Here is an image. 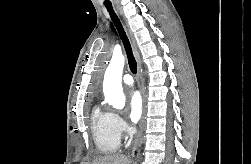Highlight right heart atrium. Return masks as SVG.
<instances>
[{"label": "right heart atrium", "instance_id": "1", "mask_svg": "<svg viewBox=\"0 0 251 164\" xmlns=\"http://www.w3.org/2000/svg\"><path fill=\"white\" fill-rule=\"evenodd\" d=\"M113 126L119 137H122L127 131L126 123L119 115L113 114Z\"/></svg>", "mask_w": 251, "mask_h": 164}]
</instances>
